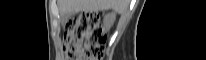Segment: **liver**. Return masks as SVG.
Instances as JSON below:
<instances>
[{"label": "liver", "mask_w": 206, "mask_h": 60, "mask_svg": "<svg viewBox=\"0 0 206 60\" xmlns=\"http://www.w3.org/2000/svg\"><path fill=\"white\" fill-rule=\"evenodd\" d=\"M126 0H59L60 12L73 14L78 12H93L112 9L122 13L125 9Z\"/></svg>", "instance_id": "6515ba94"}]
</instances>
